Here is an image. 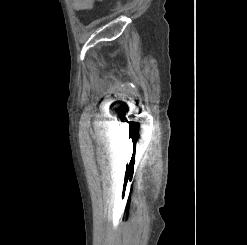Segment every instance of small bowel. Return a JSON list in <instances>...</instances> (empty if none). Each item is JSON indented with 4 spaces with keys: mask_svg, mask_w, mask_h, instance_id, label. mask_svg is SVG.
<instances>
[{
    "mask_svg": "<svg viewBox=\"0 0 247 245\" xmlns=\"http://www.w3.org/2000/svg\"><path fill=\"white\" fill-rule=\"evenodd\" d=\"M100 1L102 0H72V6L77 11H86Z\"/></svg>",
    "mask_w": 247,
    "mask_h": 245,
    "instance_id": "obj_1",
    "label": "small bowel"
}]
</instances>
